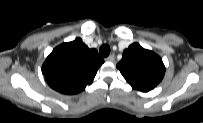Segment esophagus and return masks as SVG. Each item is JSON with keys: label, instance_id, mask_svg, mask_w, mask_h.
Returning <instances> with one entry per match:
<instances>
[{"label": "esophagus", "instance_id": "esophagus-1", "mask_svg": "<svg viewBox=\"0 0 203 123\" xmlns=\"http://www.w3.org/2000/svg\"><path fill=\"white\" fill-rule=\"evenodd\" d=\"M114 60H115V56L113 54L105 58L106 62H114Z\"/></svg>", "mask_w": 203, "mask_h": 123}]
</instances>
